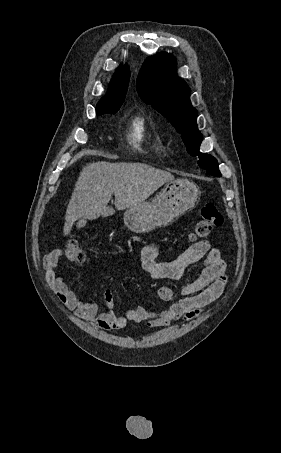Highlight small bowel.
<instances>
[{
    "instance_id": "obj_1",
    "label": "small bowel",
    "mask_w": 281,
    "mask_h": 453,
    "mask_svg": "<svg viewBox=\"0 0 281 453\" xmlns=\"http://www.w3.org/2000/svg\"><path fill=\"white\" fill-rule=\"evenodd\" d=\"M61 256L60 249H54L45 256L43 267L47 280L69 308L101 330H117L130 323L139 322H146L150 327H160L181 317L189 320L197 319L202 309L221 296L228 280L224 260L217 249L209 247L206 240L196 242L176 259L164 262L158 260V246L150 243L143 248L141 265L153 278L180 279L195 261L202 259L199 276L187 281L181 287L183 298L177 300L170 287L160 286L156 293L162 301L170 303L167 308L150 311L143 307H136L123 313H117L111 309L99 311L95 303L80 299L57 274ZM103 299L111 306L115 299L114 292L111 289L104 290Z\"/></svg>"
}]
</instances>
